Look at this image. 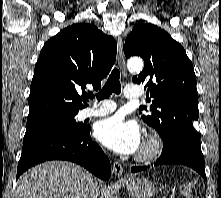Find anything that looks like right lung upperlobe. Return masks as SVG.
Wrapping results in <instances>:
<instances>
[{"mask_svg": "<svg viewBox=\"0 0 221 198\" xmlns=\"http://www.w3.org/2000/svg\"><path fill=\"white\" fill-rule=\"evenodd\" d=\"M116 51L115 40L90 23L71 25L48 40L34 69L27 122L87 106L86 84L101 87Z\"/></svg>", "mask_w": 221, "mask_h": 198, "instance_id": "1", "label": "right lung upper lobe"}]
</instances>
